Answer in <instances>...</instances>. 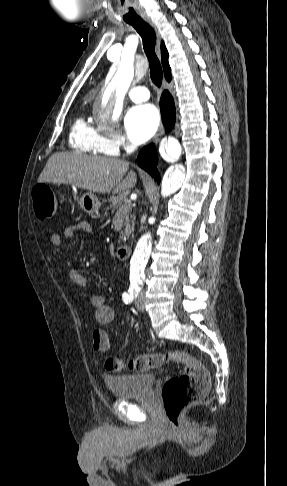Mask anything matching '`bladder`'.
<instances>
[{"label": "bladder", "mask_w": 287, "mask_h": 486, "mask_svg": "<svg viewBox=\"0 0 287 486\" xmlns=\"http://www.w3.org/2000/svg\"><path fill=\"white\" fill-rule=\"evenodd\" d=\"M155 382L152 373L109 375L105 383L111 393L118 399H129L146 395Z\"/></svg>", "instance_id": "bladder-1"}]
</instances>
